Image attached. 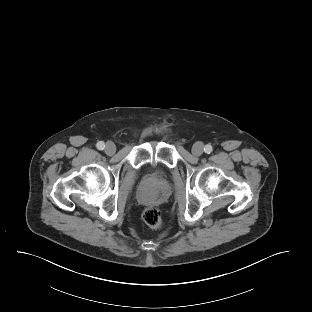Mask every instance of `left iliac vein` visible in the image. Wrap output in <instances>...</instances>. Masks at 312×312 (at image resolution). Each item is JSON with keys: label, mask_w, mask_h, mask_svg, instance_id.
I'll return each instance as SVG.
<instances>
[{"label": "left iliac vein", "mask_w": 312, "mask_h": 312, "mask_svg": "<svg viewBox=\"0 0 312 312\" xmlns=\"http://www.w3.org/2000/svg\"><path fill=\"white\" fill-rule=\"evenodd\" d=\"M192 153L195 156H200L203 153V144L201 142H196L192 147Z\"/></svg>", "instance_id": "left-iliac-vein-1"}]
</instances>
